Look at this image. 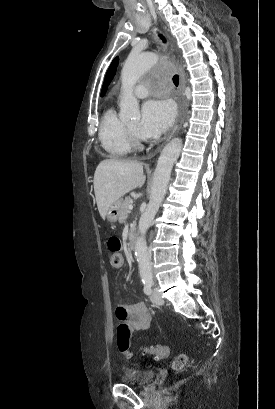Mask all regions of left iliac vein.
I'll return each instance as SVG.
<instances>
[{"instance_id": "left-iliac-vein-1", "label": "left iliac vein", "mask_w": 275, "mask_h": 409, "mask_svg": "<svg viewBox=\"0 0 275 409\" xmlns=\"http://www.w3.org/2000/svg\"><path fill=\"white\" fill-rule=\"evenodd\" d=\"M150 301L154 304L157 305H163L164 303V299L162 298V296L160 295L159 291L154 288L152 294L150 295Z\"/></svg>"}]
</instances>
